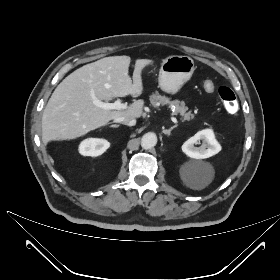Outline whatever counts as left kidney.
Listing matches in <instances>:
<instances>
[{"mask_svg": "<svg viewBox=\"0 0 280 280\" xmlns=\"http://www.w3.org/2000/svg\"><path fill=\"white\" fill-rule=\"evenodd\" d=\"M200 140L203 144L200 148L195 147ZM221 150L220 144L215 139V135L212 129H204L197 132L193 137L189 138L183 145L182 151L189 157L195 159L209 158ZM185 182L192 187H202L206 184V180L201 183L194 176H185Z\"/></svg>", "mask_w": 280, "mask_h": 280, "instance_id": "5707ae66", "label": "left kidney"}]
</instances>
